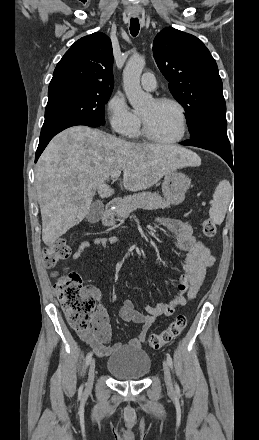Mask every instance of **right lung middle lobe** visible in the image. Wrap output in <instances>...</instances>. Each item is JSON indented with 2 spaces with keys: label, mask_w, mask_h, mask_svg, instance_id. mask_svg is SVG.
Masks as SVG:
<instances>
[{
  "label": "right lung middle lobe",
  "mask_w": 259,
  "mask_h": 440,
  "mask_svg": "<svg viewBox=\"0 0 259 440\" xmlns=\"http://www.w3.org/2000/svg\"><path fill=\"white\" fill-rule=\"evenodd\" d=\"M112 92L66 90L48 94L44 126L66 119L105 124L104 105Z\"/></svg>",
  "instance_id": "right-lung-middle-lobe-1"
}]
</instances>
